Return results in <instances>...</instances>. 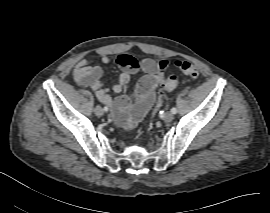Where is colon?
Listing matches in <instances>:
<instances>
[{
	"label": "colon",
	"instance_id": "5ec220e1",
	"mask_svg": "<svg viewBox=\"0 0 270 213\" xmlns=\"http://www.w3.org/2000/svg\"><path fill=\"white\" fill-rule=\"evenodd\" d=\"M130 63L133 65L134 61L131 60ZM176 67L186 76L191 78H197L199 76V71L195 64L189 61L178 60L175 62ZM177 86V77H169L163 84L162 89L166 91H173ZM160 106V103H157V108Z\"/></svg>",
	"mask_w": 270,
	"mask_h": 213
}]
</instances>
